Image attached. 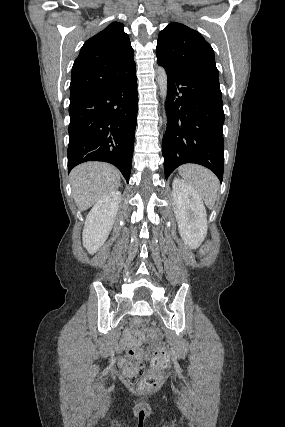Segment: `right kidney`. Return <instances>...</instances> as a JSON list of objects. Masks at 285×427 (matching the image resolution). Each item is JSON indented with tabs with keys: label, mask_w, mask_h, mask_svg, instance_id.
<instances>
[{
	"label": "right kidney",
	"mask_w": 285,
	"mask_h": 427,
	"mask_svg": "<svg viewBox=\"0 0 285 427\" xmlns=\"http://www.w3.org/2000/svg\"><path fill=\"white\" fill-rule=\"evenodd\" d=\"M121 192L114 191L102 197L87 215L83 229V246L95 253L106 241L116 218Z\"/></svg>",
	"instance_id": "right-kidney-1"
}]
</instances>
